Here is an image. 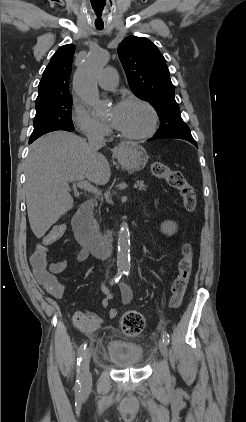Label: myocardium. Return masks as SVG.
<instances>
[{"label": "myocardium", "instance_id": "1", "mask_svg": "<svg viewBox=\"0 0 246 422\" xmlns=\"http://www.w3.org/2000/svg\"><path fill=\"white\" fill-rule=\"evenodd\" d=\"M140 104L147 109L150 114L151 121L149 127L142 133L130 134L116 129L118 135L126 140L139 141L151 137L158 128L159 115L155 107L146 99L138 96H129L121 100L120 104Z\"/></svg>", "mask_w": 246, "mask_h": 422}]
</instances>
